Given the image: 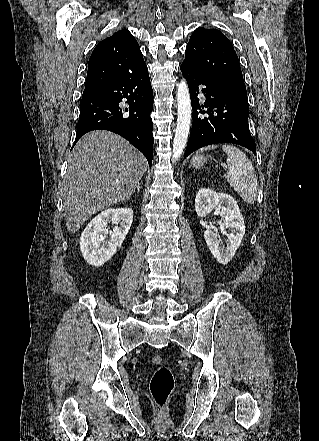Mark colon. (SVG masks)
<instances>
[{
    "label": "colon",
    "mask_w": 319,
    "mask_h": 441,
    "mask_svg": "<svg viewBox=\"0 0 319 441\" xmlns=\"http://www.w3.org/2000/svg\"><path fill=\"white\" fill-rule=\"evenodd\" d=\"M151 362L157 368L150 381V393L158 413L163 415L166 404L174 389V376L170 368L164 365L161 356H153Z\"/></svg>",
    "instance_id": "1"
}]
</instances>
